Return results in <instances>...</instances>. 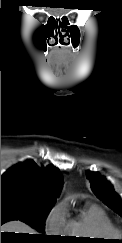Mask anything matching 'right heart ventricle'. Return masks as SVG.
<instances>
[{
	"instance_id": "e07e8e85",
	"label": "right heart ventricle",
	"mask_w": 122,
	"mask_h": 243,
	"mask_svg": "<svg viewBox=\"0 0 122 243\" xmlns=\"http://www.w3.org/2000/svg\"><path fill=\"white\" fill-rule=\"evenodd\" d=\"M64 233L79 238L111 239L117 231L102 208L90 205L82 209L76 217L67 220Z\"/></svg>"
}]
</instances>
